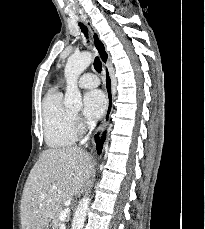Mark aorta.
<instances>
[{
  "label": "aorta",
  "instance_id": "aorta-1",
  "mask_svg": "<svg viewBox=\"0 0 205 229\" xmlns=\"http://www.w3.org/2000/svg\"><path fill=\"white\" fill-rule=\"evenodd\" d=\"M92 59L93 56L89 52L72 55L68 58L64 70V77L67 84L64 99V105L66 107L74 109L82 108V95L78 89L77 80L81 73L91 64ZM90 200L88 196L82 198L80 201L73 218L71 229L83 228Z\"/></svg>",
  "mask_w": 205,
  "mask_h": 229
}]
</instances>
